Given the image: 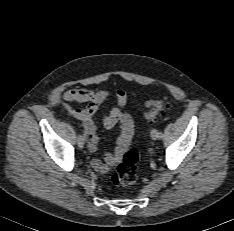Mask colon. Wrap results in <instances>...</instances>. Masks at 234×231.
<instances>
[{"instance_id":"colon-1","label":"colon","mask_w":234,"mask_h":231,"mask_svg":"<svg viewBox=\"0 0 234 231\" xmlns=\"http://www.w3.org/2000/svg\"><path fill=\"white\" fill-rule=\"evenodd\" d=\"M166 101L163 98L151 101L148 106L149 110L146 117L153 118L164 106ZM139 151L136 147L129 148L124 154L121 162L116 169L110 174V181L114 186H129L137 179V163Z\"/></svg>"}]
</instances>
